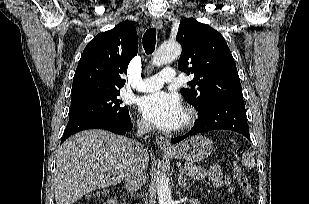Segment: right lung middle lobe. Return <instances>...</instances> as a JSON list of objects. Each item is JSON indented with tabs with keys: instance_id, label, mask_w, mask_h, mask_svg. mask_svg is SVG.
<instances>
[{
	"instance_id": "obj_1",
	"label": "right lung middle lobe",
	"mask_w": 309,
	"mask_h": 204,
	"mask_svg": "<svg viewBox=\"0 0 309 204\" xmlns=\"http://www.w3.org/2000/svg\"><path fill=\"white\" fill-rule=\"evenodd\" d=\"M119 92L91 98L85 101L71 104L69 120L84 115H102L119 121L129 119V111L122 106V100L117 97Z\"/></svg>"
}]
</instances>
